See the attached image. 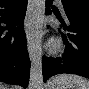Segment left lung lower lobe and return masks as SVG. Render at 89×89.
Here are the masks:
<instances>
[{
    "label": "left lung lower lobe",
    "mask_w": 89,
    "mask_h": 89,
    "mask_svg": "<svg viewBox=\"0 0 89 89\" xmlns=\"http://www.w3.org/2000/svg\"><path fill=\"white\" fill-rule=\"evenodd\" d=\"M52 0H46V15L52 12ZM62 4L65 11L64 19L58 17L64 32H61L65 53L61 58L43 57V79L46 82L50 77L60 73L77 74L89 78V8L83 6Z\"/></svg>",
    "instance_id": "0a47b994"
}]
</instances>
